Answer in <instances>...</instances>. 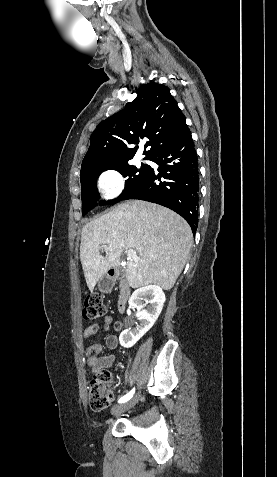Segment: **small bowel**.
<instances>
[{
	"instance_id": "c3829d8e",
	"label": "small bowel",
	"mask_w": 277,
	"mask_h": 477,
	"mask_svg": "<svg viewBox=\"0 0 277 477\" xmlns=\"http://www.w3.org/2000/svg\"><path fill=\"white\" fill-rule=\"evenodd\" d=\"M111 326L114 328L115 331H121L123 327L122 322L114 321L111 316H106L104 318V330L109 331ZM98 329V325H91L87 327L83 332L84 338L89 339L98 331ZM118 343V338L114 334L108 335L105 339L106 347L112 351L118 347ZM102 351L103 346L100 343H94L91 344L85 352L87 365L91 369V373L93 376L105 369L110 368L116 359L115 354L111 353L108 355H102Z\"/></svg>"
}]
</instances>
